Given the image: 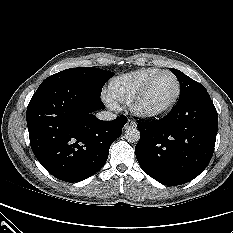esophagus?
<instances>
[{
  "label": "esophagus",
  "instance_id": "34e87169",
  "mask_svg": "<svg viewBox=\"0 0 233 233\" xmlns=\"http://www.w3.org/2000/svg\"><path fill=\"white\" fill-rule=\"evenodd\" d=\"M135 126H136V123L133 120L128 119V121H127V123L125 125V128L128 129L130 127H135Z\"/></svg>",
  "mask_w": 233,
  "mask_h": 233
}]
</instances>
